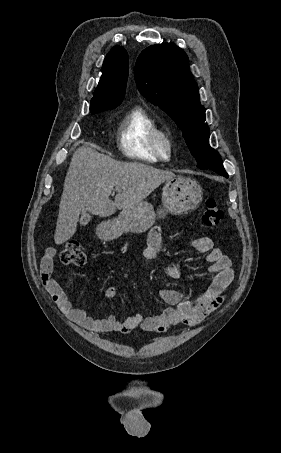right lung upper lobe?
Here are the masks:
<instances>
[{
  "label": "right lung upper lobe",
  "mask_w": 281,
  "mask_h": 453,
  "mask_svg": "<svg viewBox=\"0 0 281 453\" xmlns=\"http://www.w3.org/2000/svg\"><path fill=\"white\" fill-rule=\"evenodd\" d=\"M128 70L129 60L126 50L115 46L104 60L102 76L91 99L92 114L114 109L121 104L125 96Z\"/></svg>",
  "instance_id": "right-lung-upper-lobe-1"
}]
</instances>
